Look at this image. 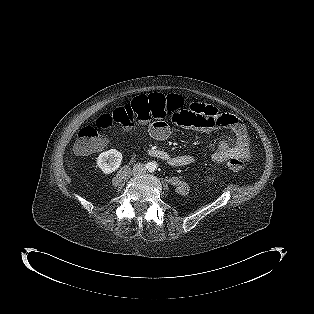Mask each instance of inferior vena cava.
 <instances>
[{"mask_svg":"<svg viewBox=\"0 0 314 314\" xmlns=\"http://www.w3.org/2000/svg\"><path fill=\"white\" fill-rule=\"evenodd\" d=\"M134 170H135L136 172L141 173V172H144V171H145V168H144L143 164L139 163V164H136V165L134 166Z\"/></svg>","mask_w":314,"mask_h":314,"instance_id":"inferior-vena-cava-1","label":"inferior vena cava"}]
</instances>
